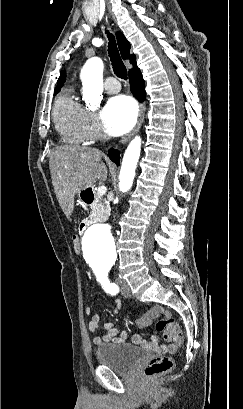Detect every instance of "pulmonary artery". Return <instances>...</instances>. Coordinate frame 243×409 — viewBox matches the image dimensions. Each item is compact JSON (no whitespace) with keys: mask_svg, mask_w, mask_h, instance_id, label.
I'll return each instance as SVG.
<instances>
[{"mask_svg":"<svg viewBox=\"0 0 243 409\" xmlns=\"http://www.w3.org/2000/svg\"><path fill=\"white\" fill-rule=\"evenodd\" d=\"M104 87L108 93H117L120 90V84L114 77H108L105 80Z\"/></svg>","mask_w":243,"mask_h":409,"instance_id":"pulmonary-artery-1","label":"pulmonary artery"}]
</instances>
